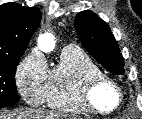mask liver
<instances>
[{
  "label": "liver",
  "instance_id": "liver-1",
  "mask_svg": "<svg viewBox=\"0 0 142 119\" xmlns=\"http://www.w3.org/2000/svg\"><path fill=\"white\" fill-rule=\"evenodd\" d=\"M0 119H67V116L51 111L25 110L13 114L0 113Z\"/></svg>",
  "mask_w": 142,
  "mask_h": 119
}]
</instances>
